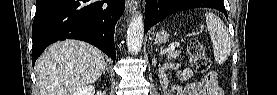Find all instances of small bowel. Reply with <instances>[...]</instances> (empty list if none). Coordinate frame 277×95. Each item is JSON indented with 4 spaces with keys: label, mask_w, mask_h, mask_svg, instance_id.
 Returning <instances> with one entry per match:
<instances>
[{
    "label": "small bowel",
    "mask_w": 277,
    "mask_h": 95,
    "mask_svg": "<svg viewBox=\"0 0 277 95\" xmlns=\"http://www.w3.org/2000/svg\"><path fill=\"white\" fill-rule=\"evenodd\" d=\"M177 77L187 82L182 87L173 86L166 90V95H221L222 90L215 84L208 82L206 77L197 78L196 82H192L195 78L193 72L189 68L181 69ZM191 81V82H190Z\"/></svg>",
    "instance_id": "small-bowel-1"
}]
</instances>
